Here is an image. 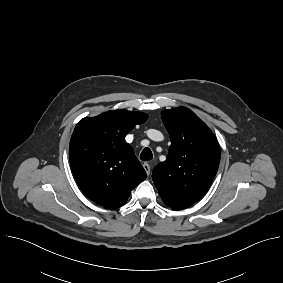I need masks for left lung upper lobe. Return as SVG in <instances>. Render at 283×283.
<instances>
[{
    "label": "left lung upper lobe",
    "mask_w": 283,
    "mask_h": 283,
    "mask_svg": "<svg viewBox=\"0 0 283 283\" xmlns=\"http://www.w3.org/2000/svg\"><path fill=\"white\" fill-rule=\"evenodd\" d=\"M171 145L152 178L163 202L174 211L198 201L210 187L220 163V147L209 127L191 110L161 112Z\"/></svg>",
    "instance_id": "1"
}]
</instances>
